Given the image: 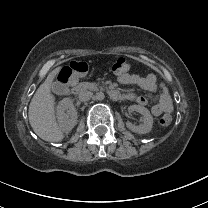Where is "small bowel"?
Here are the masks:
<instances>
[{
  "label": "small bowel",
  "mask_w": 208,
  "mask_h": 208,
  "mask_svg": "<svg viewBox=\"0 0 208 208\" xmlns=\"http://www.w3.org/2000/svg\"><path fill=\"white\" fill-rule=\"evenodd\" d=\"M118 81L123 85H134L149 92H156L159 88V101L152 106V113L159 116L162 113H169L172 111L173 104L168 89L164 84L158 86L157 79L154 75L141 76L138 74L125 73L118 76ZM129 97L137 101L140 105H147L148 100L144 96L129 95Z\"/></svg>",
  "instance_id": "1"
}]
</instances>
